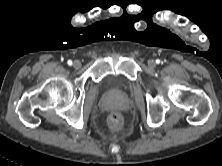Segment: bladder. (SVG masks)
<instances>
[{"mask_svg": "<svg viewBox=\"0 0 222 166\" xmlns=\"http://www.w3.org/2000/svg\"><path fill=\"white\" fill-rule=\"evenodd\" d=\"M106 84L108 88L114 92L119 91L123 88V82L118 77H110L107 79Z\"/></svg>", "mask_w": 222, "mask_h": 166, "instance_id": "obj_1", "label": "bladder"}]
</instances>
